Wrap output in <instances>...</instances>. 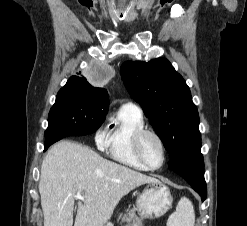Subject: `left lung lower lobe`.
<instances>
[{"label":"left lung lower lobe","instance_id":"left-lung-lower-lobe-1","mask_svg":"<svg viewBox=\"0 0 247 226\" xmlns=\"http://www.w3.org/2000/svg\"><path fill=\"white\" fill-rule=\"evenodd\" d=\"M168 166L189 182L192 188L200 194L202 201L206 199L207 188L204 179V162L200 150L171 159Z\"/></svg>","mask_w":247,"mask_h":226}]
</instances>
